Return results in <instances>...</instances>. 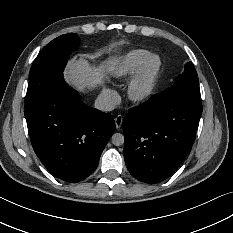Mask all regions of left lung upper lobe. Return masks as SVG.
Masks as SVG:
<instances>
[{"label": "left lung upper lobe", "instance_id": "5c2ea615", "mask_svg": "<svg viewBox=\"0 0 233 233\" xmlns=\"http://www.w3.org/2000/svg\"><path fill=\"white\" fill-rule=\"evenodd\" d=\"M199 81L194 65L190 62L185 71L176 79L175 83L160 93L161 97L174 99L186 98L199 100Z\"/></svg>", "mask_w": 233, "mask_h": 233}]
</instances>
